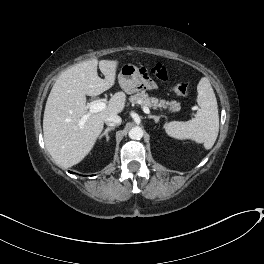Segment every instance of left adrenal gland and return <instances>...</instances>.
<instances>
[{
	"mask_svg": "<svg viewBox=\"0 0 264 264\" xmlns=\"http://www.w3.org/2000/svg\"><path fill=\"white\" fill-rule=\"evenodd\" d=\"M148 118L154 119L155 123H158L161 116H156V115H148Z\"/></svg>",
	"mask_w": 264,
	"mask_h": 264,
	"instance_id": "obj_1",
	"label": "left adrenal gland"
}]
</instances>
